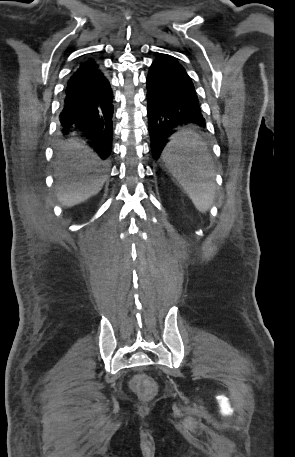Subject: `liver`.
<instances>
[{"label": "liver", "mask_w": 295, "mask_h": 457, "mask_svg": "<svg viewBox=\"0 0 295 457\" xmlns=\"http://www.w3.org/2000/svg\"><path fill=\"white\" fill-rule=\"evenodd\" d=\"M71 156L72 159H69ZM99 158L80 143H73L69 152H63L57 161V198L66 207H72L96 195L104 178L92 174L99 166Z\"/></svg>", "instance_id": "liver-1"}]
</instances>
